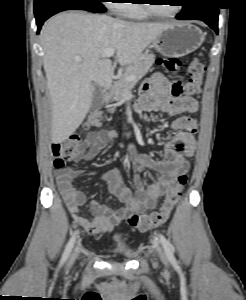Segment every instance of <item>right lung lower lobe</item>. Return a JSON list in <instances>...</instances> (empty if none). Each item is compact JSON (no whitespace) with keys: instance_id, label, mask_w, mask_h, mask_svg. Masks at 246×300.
Returning a JSON list of instances; mask_svg holds the SVG:
<instances>
[{"instance_id":"right-lung-lower-lobe-1","label":"right lung lower lobe","mask_w":246,"mask_h":300,"mask_svg":"<svg viewBox=\"0 0 246 300\" xmlns=\"http://www.w3.org/2000/svg\"><path fill=\"white\" fill-rule=\"evenodd\" d=\"M86 10L89 12L101 13L100 9L92 7L85 0H48L38 7H34V13L37 23V33L46 19L52 15L65 10ZM106 10V9H105Z\"/></svg>"}]
</instances>
